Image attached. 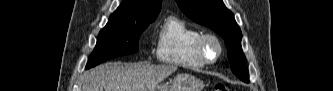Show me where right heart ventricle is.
<instances>
[{
  "label": "right heart ventricle",
  "instance_id": "1",
  "mask_svg": "<svg viewBox=\"0 0 333 91\" xmlns=\"http://www.w3.org/2000/svg\"><path fill=\"white\" fill-rule=\"evenodd\" d=\"M202 32L176 17H167L161 25L156 43L160 62L187 69H200L205 64L196 52V42Z\"/></svg>",
  "mask_w": 333,
  "mask_h": 91
}]
</instances>
